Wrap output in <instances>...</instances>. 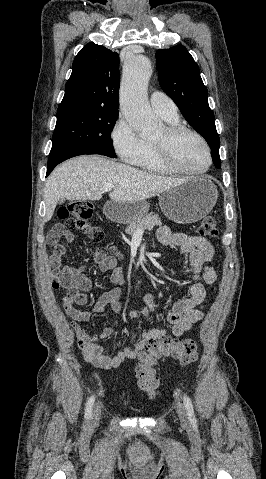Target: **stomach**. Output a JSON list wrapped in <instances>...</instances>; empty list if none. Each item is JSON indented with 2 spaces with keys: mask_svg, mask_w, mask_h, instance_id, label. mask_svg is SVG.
Wrapping results in <instances>:
<instances>
[{
  "mask_svg": "<svg viewBox=\"0 0 266 479\" xmlns=\"http://www.w3.org/2000/svg\"><path fill=\"white\" fill-rule=\"evenodd\" d=\"M217 198L216 186L208 178L194 177L161 193L159 205L168 219L189 224L205 217L215 206ZM148 211L146 201H110L104 206L105 215L119 223H130L146 216Z\"/></svg>",
  "mask_w": 266,
  "mask_h": 479,
  "instance_id": "0dacf381",
  "label": "stomach"
}]
</instances>
